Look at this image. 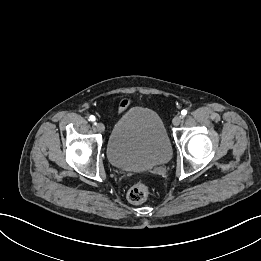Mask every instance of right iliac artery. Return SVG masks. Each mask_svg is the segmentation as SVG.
Returning <instances> with one entry per match:
<instances>
[{
  "label": "right iliac artery",
  "instance_id": "right-iliac-artery-1",
  "mask_svg": "<svg viewBox=\"0 0 261 261\" xmlns=\"http://www.w3.org/2000/svg\"><path fill=\"white\" fill-rule=\"evenodd\" d=\"M89 120L92 121V122H94V121L96 120V118H95L94 115H91V116L89 117Z\"/></svg>",
  "mask_w": 261,
  "mask_h": 261
}]
</instances>
